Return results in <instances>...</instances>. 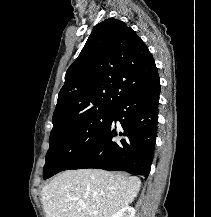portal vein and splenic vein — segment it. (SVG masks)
<instances>
[{"instance_id":"1","label":"portal vein and splenic vein","mask_w":211,"mask_h":217,"mask_svg":"<svg viewBox=\"0 0 211 217\" xmlns=\"http://www.w3.org/2000/svg\"><path fill=\"white\" fill-rule=\"evenodd\" d=\"M82 208L84 209V208H86V207L83 205Z\"/></svg>"}]
</instances>
